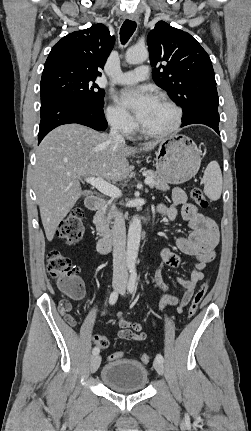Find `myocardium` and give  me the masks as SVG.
<instances>
[{
	"instance_id": "obj_1",
	"label": "myocardium",
	"mask_w": 251,
	"mask_h": 431,
	"mask_svg": "<svg viewBox=\"0 0 251 431\" xmlns=\"http://www.w3.org/2000/svg\"><path fill=\"white\" fill-rule=\"evenodd\" d=\"M157 100L165 103L166 105H168L174 112V119L172 124L166 128L165 130L162 131H150L147 130L142 124L139 126V130L140 132L149 138H164L167 136L172 135L173 133H175L183 120V112L181 107L175 103L172 99H170L169 97L165 96V95H160L157 97Z\"/></svg>"
}]
</instances>
